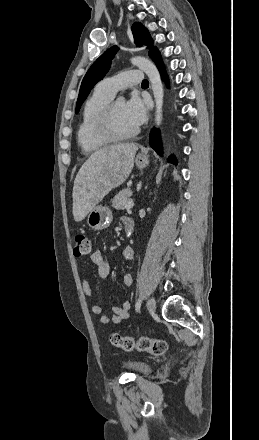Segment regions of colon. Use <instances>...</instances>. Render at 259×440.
Returning a JSON list of instances; mask_svg holds the SVG:
<instances>
[{
  "mask_svg": "<svg viewBox=\"0 0 259 440\" xmlns=\"http://www.w3.org/2000/svg\"><path fill=\"white\" fill-rule=\"evenodd\" d=\"M93 251V244L91 239L85 234H78L75 237V248L74 253L76 256H85L91 254ZM111 343L116 348L132 351L139 350L148 352L155 356L163 355L167 349L168 345L164 340L150 338V337H138L131 338L128 336L113 334L111 336Z\"/></svg>",
  "mask_w": 259,
  "mask_h": 440,
  "instance_id": "5ec220e1",
  "label": "colon"
}]
</instances>
